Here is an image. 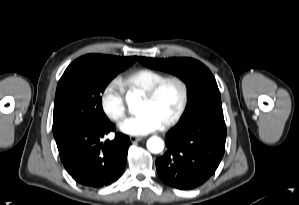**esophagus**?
I'll return each mask as SVG.
<instances>
[{
  "label": "esophagus",
  "mask_w": 299,
  "mask_h": 205,
  "mask_svg": "<svg viewBox=\"0 0 299 205\" xmlns=\"http://www.w3.org/2000/svg\"><path fill=\"white\" fill-rule=\"evenodd\" d=\"M129 139H130V141H131L132 143H134V142L141 141V140H142V137L130 136Z\"/></svg>",
  "instance_id": "obj_1"
}]
</instances>
